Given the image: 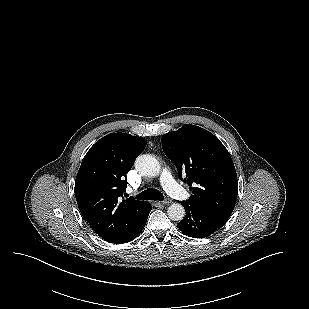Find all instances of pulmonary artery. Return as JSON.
Returning a JSON list of instances; mask_svg holds the SVG:
<instances>
[{
    "label": "pulmonary artery",
    "instance_id": "e3ab8cb5",
    "mask_svg": "<svg viewBox=\"0 0 309 309\" xmlns=\"http://www.w3.org/2000/svg\"><path fill=\"white\" fill-rule=\"evenodd\" d=\"M162 183L170 196L179 200H187L189 198V193L173 179L168 169L163 170Z\"/></svg>",
    "mask_w": 309,
    "mask_h": 309
}]
</instances>
